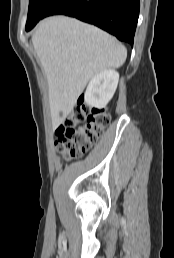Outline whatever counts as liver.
Segmentation results:
<instances>
[{
	"label": "liver",
	"mask_w": 174,
	"mask_h": 258,
	"mask_svg": "<svg viewBox=\"0 0 174 258\" xmlns=\"http://www.w3.org/2000/svg\"><path fill=\"white\" fill-rule=\"evenodd\" d=\"M32 43L47 77L54 128L73 110L92 77L121 67L127 57L126 48L108 33L65 16L42 20Z\"/></svg>",
	"instance_id": "6515ba94"
}]
</instances>
